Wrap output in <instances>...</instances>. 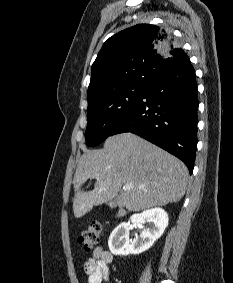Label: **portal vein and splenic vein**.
Masks as SVG:
<instances>
[{"label": "portal vein and splenic vein", "mask_w": 233, "mask_h": 283, "mask_svg": "<svg viewBox=\"0 0 233 283\" xmlns=\"http://www.w3.org/2000/svg\"><path fill=\"white\" fill-rule=\"evenodd\" d=\"M132 187H133L132 184H125V185H124V188H126V189H131Z\"/></svg>", "instance_id": "obj_1"}]
</instances>
